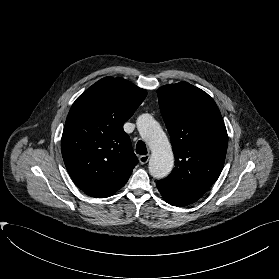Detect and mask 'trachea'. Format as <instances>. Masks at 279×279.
I'll use <instances>...</instances> for the list:
<instances>
[{"label":"trachea","mask_w":279,"mask_h":279,"mask_svg":"<svg viewBox=\"0 0 279 279\" xmlns=\"http://www.w3.org/2000/svg\"><path fill=\"white\" fill-rule=\"evenodd\" d=\"M136 153L139 155H146L147 154V148L145 143L142 140H139L136 145Z\"/></svg>","instance_id":"trachea-1"}]
</instances>
